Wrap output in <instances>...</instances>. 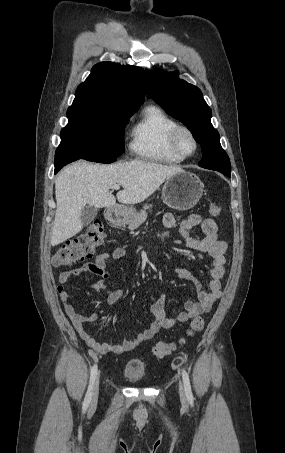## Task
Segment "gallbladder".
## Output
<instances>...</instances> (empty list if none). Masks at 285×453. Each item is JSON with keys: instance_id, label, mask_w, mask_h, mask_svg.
<instances>
[{"instance_id": "gallbladder-1", "label": "gallbladder", "mask_w": 285, "mask_h": 453, "mask_svg": "<svg viewBox=\"0 0 285 453\" xmlns=\"http://www.w3.org/2000/svg\"><path fill=\"white\" fill-rule=\"evenodd\" d=\"M98 208L92 205L85 206L81 212V222L83 225H88L97 215Z\"/></svg>"}]
</instances>
